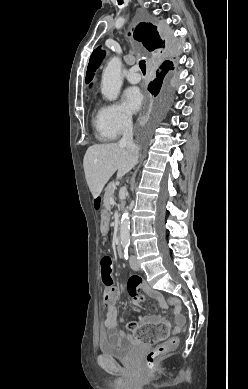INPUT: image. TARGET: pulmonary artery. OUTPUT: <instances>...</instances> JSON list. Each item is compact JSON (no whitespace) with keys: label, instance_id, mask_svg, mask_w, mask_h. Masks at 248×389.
Instances as JSON below:
<instances>
[{"label":"pulmonary artery","instance_id":"pulmonary-artery-1","mask_svg":"<svg viewBox=\"0 0 248 389\" xmlns=\"http://www.w3.org/2000/svg\"><path fill=\"white\" fill-rule=\"evenodd\" d=\"M126 78L128 82L135 84L138 83L141 80V76L138 73V68L137 66H133L131 69H129Z\"/></svg>","mask_w":248,"mask_h":389}]
</instances>
